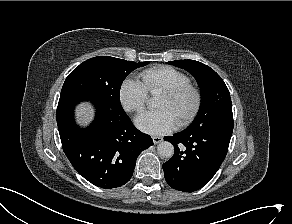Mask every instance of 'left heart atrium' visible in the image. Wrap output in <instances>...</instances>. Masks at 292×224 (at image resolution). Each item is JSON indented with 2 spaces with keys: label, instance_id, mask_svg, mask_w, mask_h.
Here are the masks:
<instances>
[{
  "label": "left heart atrium",
  "instance_id": "1",
  "mask_svg": "<svg viewBox=\"0 0 292 224\" xmlns=\"http://www.w3.org/2000/svg\"><path fill=\"white\" fill-rule=\"evenodd\" d=\"M176 120L166 109L147 111L135 119V125L142 132L151 135H163L173 131L176 127Z\"/></svg>",
  "mask_w": 292,
  "mask_h": 224
}]
</instances>
